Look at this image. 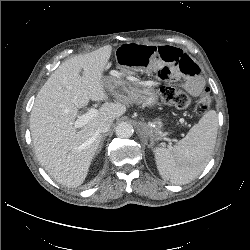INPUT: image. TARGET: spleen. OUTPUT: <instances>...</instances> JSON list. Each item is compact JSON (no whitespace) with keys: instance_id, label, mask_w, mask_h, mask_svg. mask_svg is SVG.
<instances>
[{"instance_id":"obj_1","label":"spleen","mask_w":250,"mask_h":250,"mask_svg":"<svg viewBox=\"0 0 250 250\" xmlns=\"http://www.w3.org/2000/svg\"><path fill=\"white\" fill-rule=\"evenodd\" d=\"M217 129V114L210 110L176 145L155 148V161L161 177L177 185L187 184L195 179L211 158Z\"/></svg>"}]
</instances>
